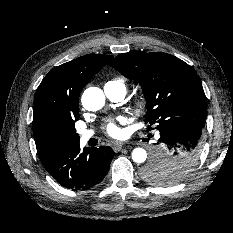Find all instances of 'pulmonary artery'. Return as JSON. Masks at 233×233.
<instances>
[{"label": "pulmonary artery", "mask_w": 233, "mask_h": 233, "mask_svg": "<svg viewBox=\"0 0 233 233\" xmlns=\"http://www.w3.org/2000/svg\"><path fill=\"white\" fill-rule=\"evenodd\" d=\"M105 94L108 98H110L113 101H120L125 96V89L122 88H110L105 86L104 87ZM92 130H82L80 131V140L84 144L86 143L92 136H93Z\"/></svg>", "instance_id": "1"}]
</instances>
